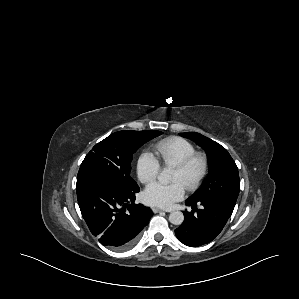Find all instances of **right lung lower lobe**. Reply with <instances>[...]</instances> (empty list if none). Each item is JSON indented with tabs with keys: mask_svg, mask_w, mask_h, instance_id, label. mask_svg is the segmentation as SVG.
<instances>
[{
	"mask_svg": "<svg viewBox=\"0 0 299 299\" xmlns=\"http://www.w3.org/2000/svg\"><path fill=\"white\" fill-rule=\"evenodd\" d=\"M76 190L91 233L102 245L116 251L131 248L153 215L150 208L134 202L139 188L130 191L103 176L78 178Z\"/></svg>",
	"mask_w": 299,
	"mask_h": 299,
	"instance_id": "obj_1",
	"label": "right lung lower lobe"
}]
</instances>
